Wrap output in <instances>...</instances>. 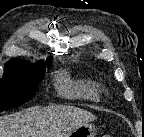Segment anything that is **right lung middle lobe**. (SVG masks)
Returning a JSON list of instances; mask_svg holds the SVG:
<instances>
[{"mask_svg":"<svg viewBox=\"0 0 144 137\" xmlns=\"http://www.w3.org/2000/svg\"><path fill=\"white\" fill-rule=\"evenodd\" d=\"M12 66L4 68L0 79V111L19 106L30 100L36 93L46 65Z\"/></svg>","mask_w":144,"mask_h":137,"instance_id":"dd1d6c3e","label":"right lung middle lobe"}]
</instances>
